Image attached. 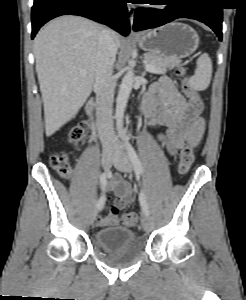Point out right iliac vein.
I'll list each match as a JSON object with an SVG mask.
<instances>
[{
  "label": "right iliac vein",
  "instance_id": "obj_1",
  "mask_svg": "<svg viewBox=\"0 0 246 300\" xmlns=\"http://www.w3.org/2000/svg\"><path fill=\"white\" fill-rule=\"evenodd\" d=\"M114 158H115V154L114 153H112V152H104L102 154V158H101L102 167L105 170H108L110 168L111 163L114 160ZM96 215H97V210H96V208H94L91 211L90 216H89L90 223H92L95 220Z\"/></svg>",
  "mask_w": 246,
  "mask_h": 300
}]
</instances>
